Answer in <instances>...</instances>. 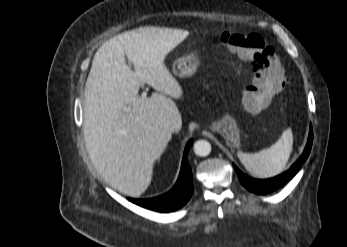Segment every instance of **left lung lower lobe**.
Wrapping results in <instances>:
<instances>
[{
	"mask_svg": "<svg viewBox=\"0 0 347 247\" xmlns=\"http://www.w3.org/2000/svg\"><path fill=\"white\" fill-rule=\"evenodd\" d=\"M312 141H313V134H312V128H311L309 132L307 145L301 157L291 166V168L288 171L271 179L257 180V179L250 178L246 176L245 174H243L234 165V168L238 174L240 182L249 191L256 194L264 195L280 188L281 186L286 184L297 173V171L300 169L304 161L307 159L312 147Z\"/></svg>",
	"mask_w": 347,
	"mask_h": 247,
	"instance_id": "left-lung-lower-lobe-1",
	"label": "left lung lower lobe"
}]
</instances>
